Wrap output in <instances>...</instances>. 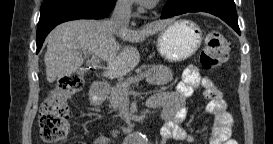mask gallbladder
<instances>
[{
	"instance_id": "bac80fb5",
	"label": "gallbladder",
	"mask_w": 273,
	"mask_h": 144,
	"mask_svg": "<svg viewBox=\"0 0 273 144\" xmlns=\"http://www.w3.org/2000/svg\"><path fill=\"white\" fill-rule=\"evenodd\" d=\"M77 74H78V76H83V74H84V73H83V70H78V73H77Z\"/></svg>"
}]
</instances>
